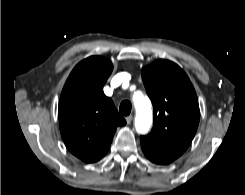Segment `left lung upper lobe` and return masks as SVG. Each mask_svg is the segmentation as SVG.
Here are the masks:
<instances>
[{
  "mask_svg": "<svg viewBox=\"0 0 245 195\" xmlns=\"http://www.w3.org/2000/svg\"><path fill=\"white\" fill-rule=\"evenodd\" d=\"M142 79L154 114L152 131L145 137L185 151L200 120L197 95L188 76L177 64L157 60L142 69Z\"/></svg>",
  "mask_w": 245,
  "mask_h": 195,
  "instance_id": "1",
  "label": "left lung upper lobe"
}]
</instances>
